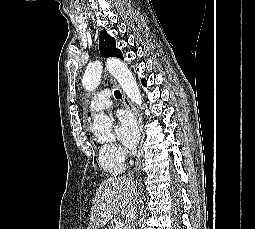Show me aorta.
Returning a JSON list of instances; mask_svg holds the SVG:
<instances>
[{
	"mask_svg": "<svg viewBox=\"0 0 255 229\" xmlns=\"http://www.w3.org/2000/svg\"><path fill=\"white\" fill-rule=\"evenodd\" d=\"M107 70L118 81L127 97L136 105H142V97L137 82L128 66L119 59L109 58L106 61ZM102 76V64L99 61L90 63L82 78V85L86 90L97 88ZM112 121L103 113L94 116L93 133L101 142H112L116 139L111 132Z\"/></svg>",
	"mask_w": 255,
	"mask_h": 229,
	"instance_id": "762f6f07",
	"label": "aorta"
}]
</instances>
